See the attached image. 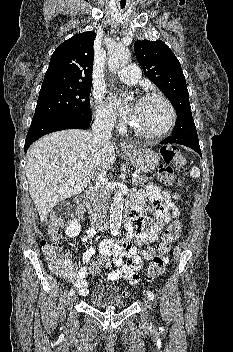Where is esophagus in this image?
Wrapping results in <instances>:
<instances>
[{"label":"esophagus","mask_w":233,"mask_h":352,"mask_svg":"<svg viewBox=\"0 0 233 352\" xmlns=\"http://www.w3.org/2000/svg\"><path fill=\"white\" fill-rule=\"evenodd\" d=\"M118 147L122 148V149H127V148H129V145L123 141L118 144Z\"/></svg>","instance_id":"34e87169"}]
</instances>
